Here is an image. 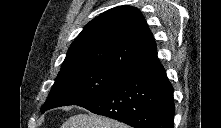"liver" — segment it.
<instances>
[{"instance_id":"1","label":"liver","mask_w":221,"mask_h":128,"mask_svg":"<svg viewBox=\"0 0 221 128\" xmlns=\"http://www.w3.org/2000/svg\"><path fill=\"white\" fill-rule=\"evenodd\" d=\"M61 128H129L116 120L96 114H78L71 116Z\"/></svg>"}]
</instances>
